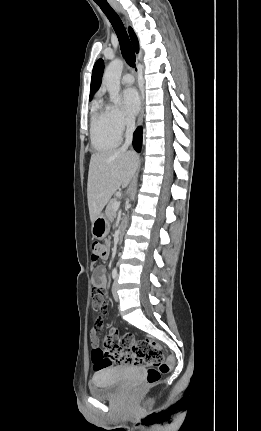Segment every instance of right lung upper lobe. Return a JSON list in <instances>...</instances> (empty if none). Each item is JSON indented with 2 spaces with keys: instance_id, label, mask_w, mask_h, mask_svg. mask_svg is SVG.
I'll use <instances>...</instances> for the list:
<instances>
[{
  "instance_id": "1",
  "label": "right lung upper lobe",
  "mask_w": 261,
  "mask_h": 431,
  "mask_svg": "<svg viewBox=\"0 0 261 431\" xmlns=\"http://www.w3.org/2000/svg\"><path fill=\"white\" fill-rule=\"evenodd\" d=\"M129 35H130L133 47H134L135 51L138 53V51H139L138 39H137V37H136V35H135V33L131 27H129ZM103 70H104V62L102 59H99L95 63L93 71H92L89 99L92 98L94 93L98 90V88L101 85Z\"/></svg>"
}]
</instances>
